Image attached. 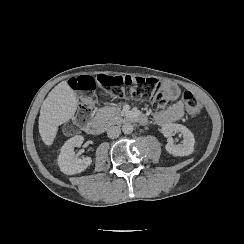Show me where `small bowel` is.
<instances>
[{"instance_id": "1", "label": "small bowel", "mask_w": 244, "mask_h": 244, "mask_svg": "<svg viewBox=\"0 0 244 244\" xmlns=\"http://www.w3.org/2000/svg\"><path fill=\"white\" fill-rule=\"evenodd\" d=\"M164 89L166 91L169 101L173 103L156 112L155 121L159 125H167L176 122L183 118L185 113V102L179 99L180 89L174 83H165Z\"/></svg>"}]
</instances>
